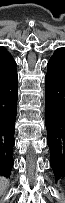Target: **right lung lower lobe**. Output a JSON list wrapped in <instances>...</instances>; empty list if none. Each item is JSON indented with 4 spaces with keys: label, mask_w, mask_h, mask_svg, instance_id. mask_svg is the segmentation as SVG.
<instances>
[{
    "label": "right lung lower lobe",
    "mask_w": 65,
    "mask_h": 203,
    "mask_svg": "<svg viewBox=\"0 0 65 203\" xmlns=\"http://www.w3.org/2000/svg\"><path fill=\"white\" fill-rule=\"evenodd\" d=\"M18 76L16 66L0 69V176L10 177L14 160Z\"/></svg>",
    "instance_id": "98d812e1"
}]
</instances>
